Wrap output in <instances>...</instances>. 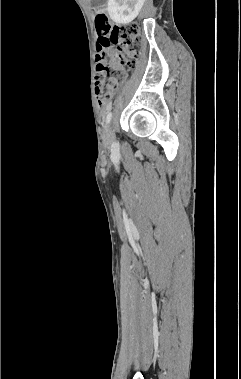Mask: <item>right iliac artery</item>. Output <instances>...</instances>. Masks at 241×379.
Masks as SVG:
<instances>
[{
    "instance_id": "obj_1",
    "label": "right iliac artery",
    "mask_w": 241,
    "mask_h": 379,
    "mask_svg": "<svg viewBox=\"0 0 241 379\" xmlns=\"http://www.w3.org/2000/svg\"><path fill=\"white\" fill-rule=\"evenodd\" d=\"M111 119H112V113L109 112L108 115H107V117H106V124L107 125L110 123Z\"/></svg>"
}]
</instances>
